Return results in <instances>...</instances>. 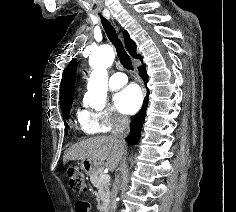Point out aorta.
Listing matches in <instances>:
<instances>
[{"label":"aorta","mask_w":236,"mask_h":212,"mask_svg":"<svg viewBox=\"0 0 236 212\" xmlns=\"http://www.w3.org/2000/svg\"><path fill=\"white\" fill-rule=\"evenodd\" d=\"M114 59L115 53L109 45L100 46L90 54L89 64L93 70L88 81L86 97L91 107L101 108L106 102L107 68L112 65Z\"/></svg>","instance_id":"1"}]
</instances>
